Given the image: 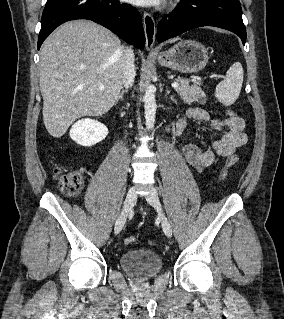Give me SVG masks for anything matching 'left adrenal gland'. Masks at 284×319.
<instances>
[{
  "mask_svg": "<svg viewBox=\"0 0 284 319\" xmlns=\"http://www.w3.org/2000/svg\"><path fill=\"white\" fill-rule=\"evenodd\" d=\"M168 93H170V91H168ZM171 100H172L173 102L177 103V100L174 98V95H173V96L171 95Z\"/></svg>",
  "mask_w": 284,
  "mask_h": 319,
  "instance_id": "obj_1",
  "label": "left adrenal gland"
}]
</instances>
